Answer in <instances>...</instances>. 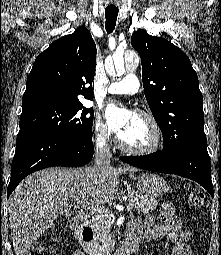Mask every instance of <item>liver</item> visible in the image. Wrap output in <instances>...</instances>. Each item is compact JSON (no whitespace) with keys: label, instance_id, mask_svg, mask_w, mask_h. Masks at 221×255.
<instances>
[{"label":"liver","instance_id":"1","mask_svg":"<svg viewBox=\"0 0 221 255\" xmlns=\"http://www.w3.org/2000/svg\"><path fill=\"white\" fill-rule=\"evenodd\" d=\"M135 168L53 167L26 177L9 198V222L16 255H28L33 242L61 214L62 206L88 201L96 206L118 195L119 175ZM91 197V198H90Z\"/></svg>","mask_w":221,"mask_h":255}]
</instances>
